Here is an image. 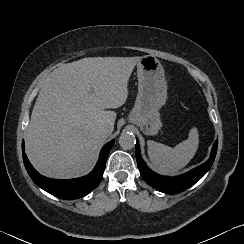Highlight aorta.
<instances>
[{
    "label": "aorta",
    "mask_w": 244,
    "mask_h": 244,
    "mask_svg": "<svg viewBox=\"0 0 244 244\" xmlns=\"http://www.w3.org/2000/svg\"><path fill=\"white\" fill-rule=\"evenodd\" d=\"M136 144L135 135L131 132H123L119 137V145L124 150L134 148Z\"/></svg>",
    "instance_id": "aorta-1"
}]
</instances>
